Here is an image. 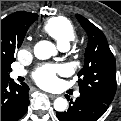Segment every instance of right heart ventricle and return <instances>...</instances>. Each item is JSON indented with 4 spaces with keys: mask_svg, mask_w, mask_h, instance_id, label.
<instances>
[{
    "mask_svg": "<svg viewBox=\"0 0 121 121\" xmlns=\"http://www.w3.org/2000/svg\"><path fill=\"white\" fill-rule=\"evenodd\" d=\"M42 30L51 36L61 47H69L70 43L76 37V31L73 24L64 17H53L48 19Z\"/></svg>",
    "mask_w": 121,
    "mask_h": 121,
    "instance_id": "obj_1",
    "label": "right heart ventricle"
}]
</instances>
